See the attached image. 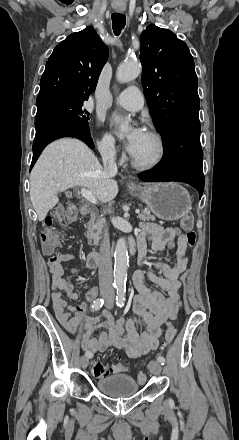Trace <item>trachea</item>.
<instances>
[{
	"mask_svg": "<svg viewBox=\"0 0 239 440\" xmlns=\"http://www.w3.org/2000/svg\"><path fill=\"white\" fill-rule=\"evenodd\" d=\"M111 18L113 31L118 36L126 24V17L122 13H113Z\"/></svg>",
	"mask_w": 239,
	"mask_h": 440,
	"instance_id": "1",
	"label": "trachea"
}]
</instances>
